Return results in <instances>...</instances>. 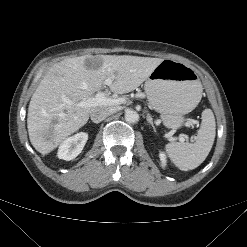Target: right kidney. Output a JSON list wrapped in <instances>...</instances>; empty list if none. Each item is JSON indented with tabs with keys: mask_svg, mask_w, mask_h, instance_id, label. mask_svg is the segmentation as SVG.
I'll use <instances>...</instances> for the list:
<instances>
[{
	"mask_svg": "<svg viewBox=\"0 0 247 247\" xmlns=\"http://www.w3.org/2000/svg\"><path fill=\"white\" fill-rule=\"evenodd\" d=\"M88 140V134L80 132L64 140L58 149V158L63 160H72L83 150Z\"/></svg>",
	"mask_w": 247,
	"mask_h": 247,
	"instance_id": "obj_1",
	"label": "right kidney"
}]
</instances>
